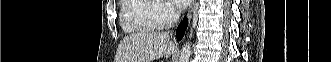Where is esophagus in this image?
I'll return each instance as SVG.
<instances>
[{"mask_svg":"<svg viewBox=\"0 0 331 62\" xmlns=\"http://www.w3.org/2000/svg\"><path fill=\"white\" fill-rule=\"evenodd\" d=\"M195 2H196V0H193V1H192V4H191L190 7H189V10H188V13H187V16H188V17L191 16V14H192V12H193V10H194Z\"/></svg>","mask_w":331,"mask_h":62,"instance_id":"obj_1","label":"esophagus"}]
</instances>
